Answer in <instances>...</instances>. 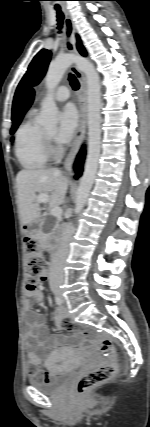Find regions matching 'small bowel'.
<instances>
[{"label":"small bowel","mask_w":150,"mask_h":427,"mask_svg":"<svg viewBox=\"0 0 150 427\" xmlns=\"http://www.w3.org/2000/svg\"><path fill=\"white\" fill-rule=\"evenodd\" d=\"M29 297L37 303L43 301V292L37 289L29 293ZM54 325L61 331H66V334H75L79 325L74 319L66 318V311L62 307H58L54 312ZM81 337L78 335L52 334L49 332L46 318L43 314L31 310L28 305L26 315V349L28 361L33 368L29 371L31 378H45L47 372H41L39 366L42 359L38 354L39 351L47 352L53 348L63 347L65 350L61 355H68L72 348L82 346ZM60 354L50 355L46 360V367L52 365Z\"/></svg>","instance_id":"1"}]
</instances>
